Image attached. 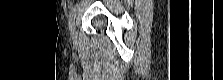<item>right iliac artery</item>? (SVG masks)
Listing matches in <instances>:
<instances>
[{
  "label": "right iliac artery",
  "mask_w": 223,
  "mask_h": 80,
  "mask_svg": "<svg viewBox=\"0 0 223 80\" xmlns=\"http://www.w3.org/2000/svg\"><path fill=\"white\" fill-rule=\"evenodd\" d=\"M75 16H76V7L72 8L70 17H69V29H70L71 34L73 31Z\"/></svg>",
  "instance_id": "1"
}]
</instances>
